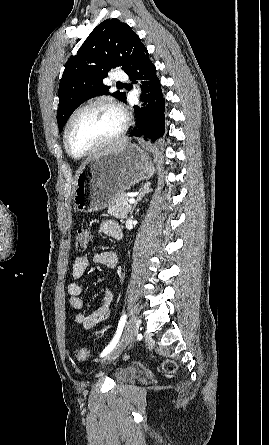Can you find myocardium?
Wrapping results in <instances>:
<instances>
[{
  "label": "myocardium",
  "mask_w": 269,
  "mask_h": 445,
  "mask_svg": "<svg viewBox=\"0 0 269 445\" xmlns=\"http://www.w3.org/2000/svg\"><path fill=\"white\" fill-rule=\"evenodd\" d=\"M95 106H107L110 107L112 109H114L116 112L119 113V115L121 116L122 119V124L119 128V130L110 138H108L107 140L101 142L99 145H97L96 147L92 148L91 150L82 153V154H75L71 151L69 145H68V133H69V129L70 126L73 122V120L83 111L95 107ZM129 126V119L127 114L125 113V111L122 109V107L120 105H118L116 102H114L113 100H111L110 98H96L93 99L85 104H83L82 106H80L79 108H77L68 118L65 127H64V132H63V144H64V148L67 152V154L69 156H71L74 159H83L89 156H92L98 152H100L101 150H103L104 148L108 147L109 145L113 144L114 142H116L117 140H119L127 131Z\"/></svg>",
  "instance_id": "f54148a6"
}]
</instances>
